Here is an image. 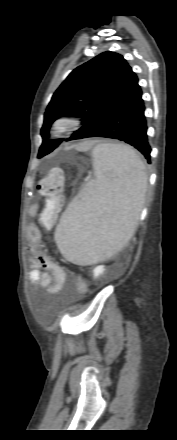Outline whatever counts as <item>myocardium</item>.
<instances>
[{
	"label": "myocardium",
	"instance_id": "myocardium-1",
	"mask_svg": "<svg viewBox=\"0 0 177 440\" xmlns=\"http://www.w3.org/2000/svg\"><path fill=\"white\" fill-rule=\"evenodd\" d=\"M79 125L80 122L74 117L60 116L52 122L50 135L55 138L65 137L76 130Z\"/></svg>",
	"mask_w": 177,
	"mask_h": 440
}]
</instances>
